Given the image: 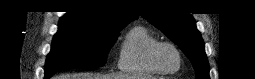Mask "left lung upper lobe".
Here are the masks:
<instances>
[{
	"instance_id": "obj_1",
	"label": "left lung upper lobe",
	"mask_w": 255,
	"mask_h": 79,
	"mask_svg": "<svg viewBox=\"0 0 255 79\" xmlns=\"http://www.w3.org/2000/svg\"><path fill=\"white\" fill-rule=\"evenodd\" d=\"M141 15L179 46L192 62L197 73L196 79H209V64L203 39L190 14L173 12L164 6L154 5Z\"/></svg>"
}]
</instances>
